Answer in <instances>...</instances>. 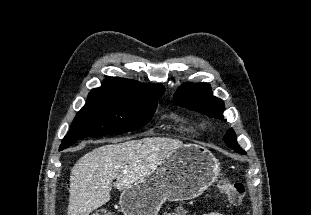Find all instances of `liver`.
Segmentation results:
<instances>
[{
  "instance_id": "1",
  "label": "liver",
  "mask_w": 311,
  "mask_h": 215,
  "mask_svg": "<svg viewBox=\"0 0 311 215\" xmlns=\"http://www.w3.org/2000/svg\"><path fill=\"white\" fill-rule=\"evenodd\" d=\"M111 141L93 149L73 166L67 215H89L110 200L113 180L119 191L153 172L169 153L184 145L165 137Z\"/></svg>"
}]
</instances>
